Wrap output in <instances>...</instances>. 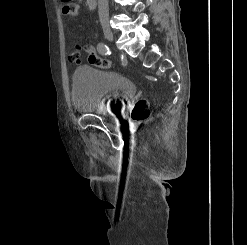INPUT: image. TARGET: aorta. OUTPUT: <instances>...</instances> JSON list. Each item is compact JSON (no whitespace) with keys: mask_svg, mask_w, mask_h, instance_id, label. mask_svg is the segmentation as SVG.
<instances>
[{"mask_svg":"<svg viewBox=\"0 0 247 245\" xmlns=\"http://www.w3.org/2000/svg\"><path fill=\"white\" fill-rule=\"evenodd\" d=\"M87 1H89V2H93L94 0H87Z\"/></svg>","mask_w":247,"mask_h":245,"instance_id":"aorta-1","label":"aorta"}]
</instances>
